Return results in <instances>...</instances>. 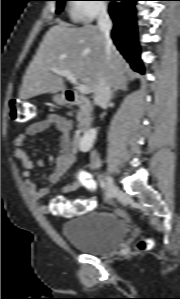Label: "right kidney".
Instances as JSON below:
<instances>
[{
  "label": "right kidney",
  "instance_id": "right-kidney-1",
  "mask_svg": "<svg viewBox=\"0 0 180 299\" xmlns=\"http://www.w3.org/2000/svg\"><path fill=\"white\" fill-rule=\"evenodd\" d=\"M96 134V129H90L83 135L79 143V148L82 152H88L92 148Z\"/></svg>",
  "mask_w": 180,
  "mask_h": 299
}]
</instances>
